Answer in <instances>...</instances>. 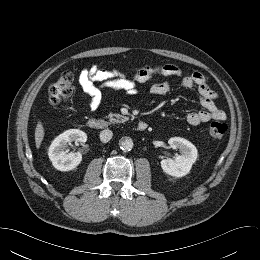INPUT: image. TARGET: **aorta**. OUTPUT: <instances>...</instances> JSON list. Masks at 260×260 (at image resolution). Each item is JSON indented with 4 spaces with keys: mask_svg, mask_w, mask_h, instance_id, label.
I'll return each mask as SVG.
<instances>
[{
    "mask_svg": "<svg viewBox=\"0 0 260 260\" xmlns=\"http://www.w3.org/2000/svg\"><path fill=\"white\" fill-rule=\"evenodd\" d=\"M119 146L123 151H130L133 148V141L128 137L122 138L119 141Z\"/></svg>",
    "mask_w": 260,
    "mask_h": 260,
    "instance_id": "762f6f07",
    "label": "aorta"
}]
</instances>
